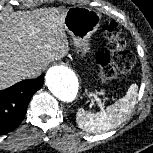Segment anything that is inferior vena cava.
Instances as JSON below:
<instances>
[{
  "mask_svg": "<svg viewBox=\"0 0 153 153\" xmlns=\"http://www.w3.org/2000/svg\"><path fill=\"white\" fill-rule=\"evenodd\" d=\"M43 67V64H30L24 69L23 76L28 78H37L42 74Z\"/></svg>",
  "mask_w": 153,
  "mask_h": 153,
  "instance_id": "1",
  "label": "inferior vena cava"
}]
</instances>
